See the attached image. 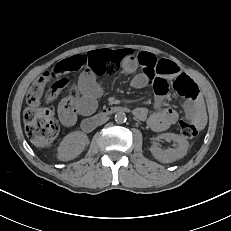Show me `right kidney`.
<instances>
[{
  "label": "right kidney",
  "mask_w": 231,
  "mask_h": 231,
  "mask_svg": "<svg viewBox=\"0 0 231 231\" xmlns=\"http://www.w3.org/2000/svg\"><path fill=\"white\" fill-rule=\"evenodd\" d=\"M89 144L87 135L81 131H74L66 135L58 147V159L69 161L82 153Z\"/></svg>",
  "instance_id": "obj_1"
}]
</instances>
